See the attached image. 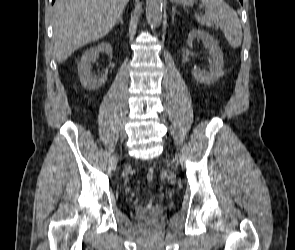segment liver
Instances as JSON below:
<instances>
[{"label": "liver", "instance_id": "1", "mask_svg": "<svg viewBox=\"0 0 295 250\" xmlns=\"http://www.w3.org/2000/svg\"><path fill=\"white\" fill-rule=\"evenodd\" d=\"M128 0H56L54 47L56 59L63 63L85 44L107 35L123 14Z\"/></svg>", "mask_w": 295, "mask_h": 250}]
</instances>
